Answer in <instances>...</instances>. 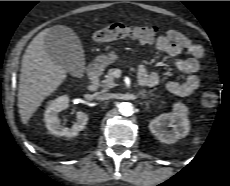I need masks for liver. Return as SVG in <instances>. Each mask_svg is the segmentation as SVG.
Masks as SVG:
<instances>
[{"instance_id": "liver-1", "label": "liver", "mask_w": 230, "mask_h": 186, "mask_svg": "<svg viewBox=\"0 0 230 186\" xmlns=\"http://www.w3.org/2000/svg\"><path fill=\"white\" fill-rule=\"evenodd\" d=\"M41 31L28 45L21 63L18 108L23 124H27L41 103L63 83L67 70L56 63L45 49Z\"/></svg>"}]
</instances>
